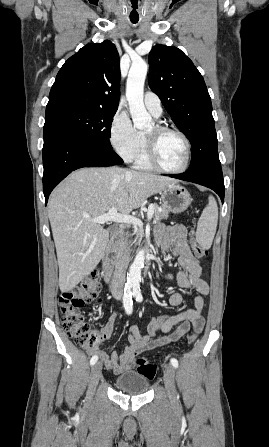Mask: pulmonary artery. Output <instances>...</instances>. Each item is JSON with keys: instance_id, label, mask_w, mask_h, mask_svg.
<instances>
[{"instance_id": "e3ab8cb5", "label": "pulmonary artery", "mask_w": 269, "mask_h": 447, "mask_svg": "<svg viewBox=\"0 0 269 447\" xmlns=\"http://www.w3.org/2000/svg\"><path fill=\"white\" fill-rule=\"evenodd\" d=\"M144 106L151 112L156 118H159L162 114L161 100L158 95L148 91L144 95Z\"/></svg>"}]
</instances>
